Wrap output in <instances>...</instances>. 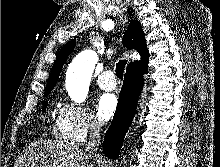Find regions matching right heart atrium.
Instances as JSON below:
<instances>
[{
	"label": "right heart atrium",
	"instance_id": "d8ad5b80",
	"mask_svg": "<svg viewBox=\"0 0 220 167\" xmlns=\"http://www.w3.org/2000/svg\"><path fill=\"white\" fill-rule=\"evenodd\" d=\"M57 122L70 142L84 143L91 135L100 131V125L84 107L66 102L58 112Z\"/></svg>",
	"mask_w": 220,
	"mask_h": 167
}]
</instances>
